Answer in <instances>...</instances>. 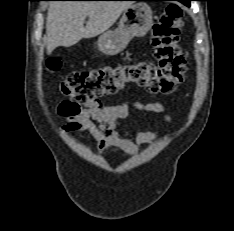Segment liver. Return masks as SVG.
I'll return each mask as SVG.
<instances>
[{"instance_id":"obj_1","label":"liver","mask_w":234,"mask_h":231,"mask_svg":"<svg viewBox=\"0 0 234 231\" xmlns=\"http://www.w3.org/2000/svg\"><path fill=\"white\" fill-rule=\"evenodd\" d=\"M131 5L130 1H54L46 20L47 53L58 46L70 47L82 38H92L108 30ZM86 17L89 20L84 27Z\"/></svg>"}]
</instances>
